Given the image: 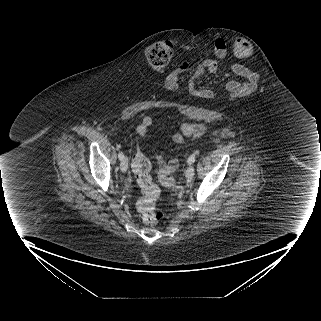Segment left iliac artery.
Masks as SVG:
<instances>
[{"label":"left iliac artery","mask_w":321,"mask_h":321,"mask_svg":"<svg viewBox=\"0 0 321 321\" xmlns=\"http://www.w3.org/2000/svg\"><path fill=\"white\" fill-rule=\"evenodd\" d=\"M195 158H196L195 154L191 155L187 160L188 164L194 163L195 162Z\"/></svg>","instance_id":"left-iliac-artery-1"}]
</instances>
